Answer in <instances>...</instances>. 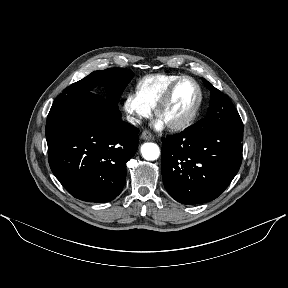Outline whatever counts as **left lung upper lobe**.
Returning a JSON list of instances; mask_svg holds the SVG:
<instances>
[{
    "mask_svg": "<svg viewBox=\"0 0 288 288\" xmlns=\"http://www.w3.org/2000/svg\"><path fill=\"white\" fill-rule=\"evenodd\" d=\"M202 81L210 90L211 98L207 115L199 123L203 126L231 132L243 139V123L229 97L216 89L204 78H202Z\"/></svg>",
    "mask_w": 288,
    "mask_h": 288,
    "instance_id": "obj_1",
    "label": "left lung upper lobe"
}]
</instances>
